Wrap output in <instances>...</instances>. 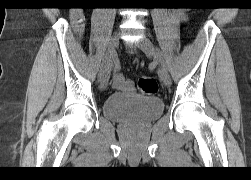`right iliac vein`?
<instances>
[{
    "mask_svg": "<svg viewBox=\"0 0 251 180\" xmlns=\"http://www.w3.org/2000/svg\"><path fill=\"white\" fill-rule=\"evenodd\" d=\"M119 45V34L116 32L114 33V35L111 38L109 47H108V51H107V65L104 69V72L102 73L101 77H100V88L102 90H104L108 84L109 78H110V74H111V70L114 64V60L116 57V49Z\"/></svg>",
    "mask_w": 251,
    "mask_h": 180,
    "instance_id": "right-iliac-vein-1",
    "label": "right iliac vein"
}]
</instances>
